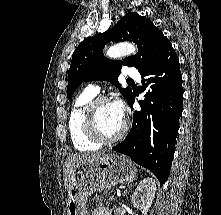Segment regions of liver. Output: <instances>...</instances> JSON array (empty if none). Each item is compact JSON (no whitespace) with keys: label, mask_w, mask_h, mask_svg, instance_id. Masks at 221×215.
<instances>
[{"label":"liver","mask_w":221,"mask_h":215,"mask_svg":"<svg viewBox=\"0 0 221 215\" xmlns=\"http://www.w3.org/2000/svg\"><path fill=\"white\" fill-rule=\"evenodd\" d=\"M103 152H99V153H91V154H69L64 162V166H63V175H64V185L65 188L68 191L69 188V182L71 179V176L74 172L75 167L82 163L85 162L87 160L90 159H96L99 158L103 155Z\"/></svg>","instance_id":"obj_1"}]
</instances>
